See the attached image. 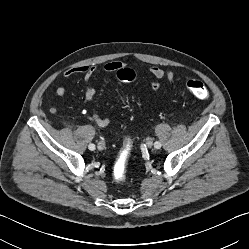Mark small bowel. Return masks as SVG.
I'll list each match as a JSON object with an SVG mask.
<instances>
[{
    "instance_id": "small-bowel-1",
    "label": "small bowel",
    "mask_w": 249,
    "mask_h": 249,
    "mask_svg": "<svg viewBox=\"0 0 249 249\" xmlns=\"http://www.w3.org/2000/svg\"><path fill=\"white\" fill-rule=\"evenodd\" d=\"M124 64L120 61H112L104 65L103 69L105 72L114 73L118 71ZM96 71V67L93 65H80L73 68H69L64 71V76L69 78L74 75H82L84 78V95L85 100L88 104L95 100V90L91 84V79ZM149 74L151 77V88L155 94H165L159 83L160 79H165L168 83L173 84L176 82L177 77L172 69L164 68L161 66H152L149 69ZM58 97H63L66 94V88L64 86H59L55 91ZM52 111H55L54 109ZM91 120L100 128H105L110 125L111 119L108 117H103L96 112L91 114Z\"/></svg>"
}]
</instances>
